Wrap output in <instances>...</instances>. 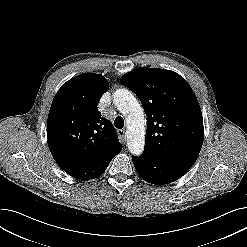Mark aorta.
<instances>
[{"instance_id":"obj_1","label":"aorta","mask_w":247,"mask_h":247,"mask_svg":"<svg viewBox=\"0 0 247 247\" xmlns=\"http://www.w3.org/2000/svg\"><path fill=\"white\" fill-rule=\"evenodd\" d=\"M113 102L125 116L127 122V147L135 156H140L145 146V115L144 111L127 89H118L113 93Z\"/></svg>"}]
</instances>
